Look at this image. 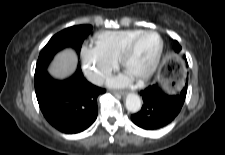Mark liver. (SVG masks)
Returning a JSON list of instances; mask_svg holds the SVG:
<instances>
[{
  "label": "liver",
  "instance_id": "obj_1",
  "mask_svg": "<svg viewBox=\"0 0 225 155\" xmlns=\"http://www.w3.org/2000/svg\"><path fill=\"white\" fill-rule=\"evenodd\" d=\"M76 65V53L72 49H66L56 55L49 68V73L54 78L64 79L75 71Z\"/></svg>",
  "mask_w": 225,
  "mask_h": 155
}]
</instances>
